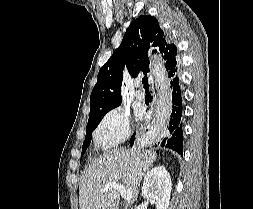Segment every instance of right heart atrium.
<instances>
[{
    "instance_id": "d8ad5b80",
    "label": "right heart atrium",
    "mask_w": 253,
    "mask_h": 209,
    "mask_svg": "<svg viewBox=\"0 0 253 209\" xmlns=\"http://www.w3.org/2000/svg\"><path fill=\"white\" fill-rule=\"evenodd\" d=\"M131 134L130 117L122 108L107 112L93 132L96 146L104 151L124 143Z\"/></svg>"
}]
</instances>
